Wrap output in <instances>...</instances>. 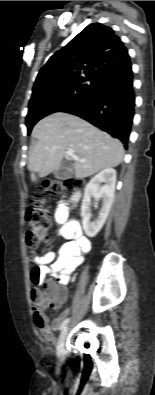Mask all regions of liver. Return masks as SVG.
Here are the masks:
<instances>
[{
  "instance_id": "6515ba94",
  "label": "liver",
  "mask_w": 155,
  "mask_h": 395,
  "mask_svg": "<svg viewBox=\"0 0 155 395\" xmlns=\"http://www.w3.org/2000/svg\"><path fill=\"white\" fill-rule=\"evenodd\" d=\"M32 136L38 140L30 153L28 169L31 180L45 177L59 169L67 151L85 162L76 161L72 172L85 178L107 168L118 166L124 157L122 143L84 119L57 112L40 120Z\"/></svg>"
}]
</instances>
